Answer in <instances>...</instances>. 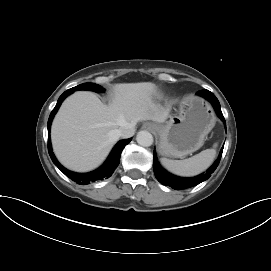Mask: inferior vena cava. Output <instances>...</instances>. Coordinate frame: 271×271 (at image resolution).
<instances>
[{"instance_id": "602c4592", "label": "inferior vena cava", "mask_w": 271, "mask_h": 271, "mask_svg": "<svg viewBox=\"0 0 271 271\" xmlns=\"http://www.w3.org/2000/svg\"><path fill=\"white\" fill-rule=\"evenodd\" d=\"M135 133V124L134 123H126L124 126L120 127L116 130V134L121 138H130Z\"/></svg>"}]
</instances>
